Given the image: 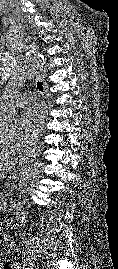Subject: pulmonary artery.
I'll use <instances>...</instances> for the list:
<instances>
[{
	"label": "pulmonary artery",
	"mask_w": 118,
	"mask_h": 269,
	"mask_svg": "<svg viewBox=\"0 0 118 269\" xmlns=\"http://www.w3.org/2000/svg\"><path fill=\"white\" fill-rule=\"evenodd\" d=\"M34 100V94L32 92L26 91L22 92L16 97V102L18 104H30Z\"/></svg>",
	"instance_id": "e3ab8cb5"
}]
</instances>
